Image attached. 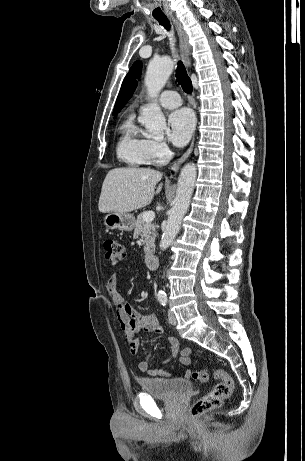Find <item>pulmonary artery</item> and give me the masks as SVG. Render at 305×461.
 I'll return each mask as SVG.
<instances>
[{
    "instance_id": "obj_1",
    "label": "pulmonary artery",
    "mask_w": 305,
    "mask_h": 461,
    "mask_svg": "<svg viewBox=\"0 0 305 461\" xmlns=\"http://www.w3.org/2000/svg\"><path fill=\"white\" fill-rule=\"evenodd\" d=\"M159 103L165 108H176L181 105V98L175 91H163L159 97Z\"/></svg>"
}]
</instances>
